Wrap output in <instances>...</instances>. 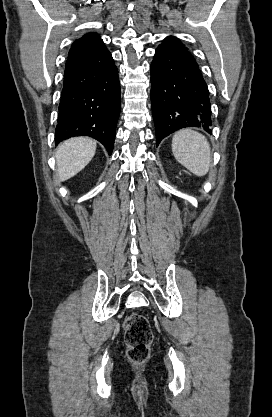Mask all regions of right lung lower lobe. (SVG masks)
<instances>
[{"mask_svg":"<svg viewBox=\"0 0 272 417\" xmlns=\"http://www.w3.org/2000/svg\"><path fill=\"white\" fill-rule=\"evenodd\" d=\"M118 70L104 43L69 57L59 105L56 144L74 136L100 141L111 155L120 114Z\"/></svg>","mask_w":272,"mask_h":417,"instance_id":"obj_1","label":"right lung lower lobe"}]
</instances>
